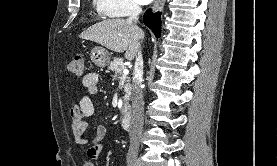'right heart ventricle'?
<instances>
[{
  "label": "right heart ventricle",
  "mask_w": 277,
  "mask_h": 166,
  "mask_svg": "<svg viewBox=\"0 0 277 166\" xmlns=\"http://www.w3.org/2000/svg\"><path fill=\"white\" fill-rule=\"evenodd\" d=\"M93 6L97 13L102 17H113V15L104 7L102 0H93Z\"/></svg>",
  "instance_id": "1"
}]
</instances>
